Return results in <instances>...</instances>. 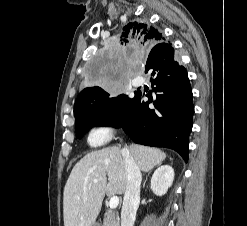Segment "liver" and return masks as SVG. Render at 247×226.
Here are the masks:
<instances>
[{
  "mask_svg": "<svg viewBox=\"0 0 247 226\" xmlns=\"http://www.w3.org/2000/svg\"><path fill=\"white\" fill-rule=\"evenodd\" d=\"M127 150L144 172L166 158L157 148L133 144ZM121 151L119 146L92 151L75 164L63 193L64 226H93L105 195L125 193L127 178Z\"/></svg>",
  "mask_w": 247,
  "mask_h": 226,
  "instance_id": "liver-1",
  "label": "liver"
}]
</instances>
